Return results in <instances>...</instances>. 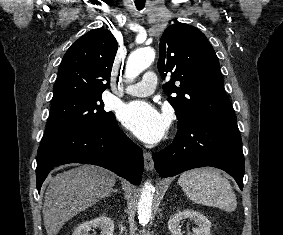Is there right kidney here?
I'll use <instances>...</instances> for the list:
<instances>
[{
	"instance_id": "1",
	"label": "right kidney",
	"mask_w": 283,
	"mask_h": 235,
	"mask_svg": "<svg viewBox=\"0 0 283 235\" xmlns=\"http://www.w3.org/2000/svg\"><path fill=\"white\" fill-rule=\"evenodd\" d=\"M99 228L101 235H113L114 222L107 216H100L98 218L86 221L80 224L72 235H88L92 228Z\"/></svg>"
}]
</instances>
